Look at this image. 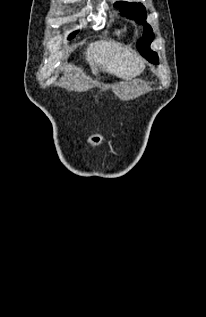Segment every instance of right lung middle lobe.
Here are the masks:
<instances>
[{"instance_id":"1","label":"right lung middle lobe","mask_w":206,"mask_h":317,"mask_svg":"<svg viewBox=\"0 0 206 317\" xmlns=\"http://www.w3.org/2000/svg\"><path fill=\"white\" fill-rule=\"evenodd\" d=\"M77 32H78V31L73 32V33L69 36V39H72V38L76 35Z\"/></svg>"}]
</instances>
